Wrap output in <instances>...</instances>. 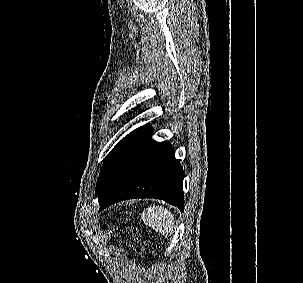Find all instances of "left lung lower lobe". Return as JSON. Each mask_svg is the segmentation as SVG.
<instances>
[{
    "label": "left lung lower lobe",
    "instance_id": "0a47b994",
    "mask_svg": "<svg viewBox=\"0 0 303 283\" xmlns=\"http://www.w3.org/2000/svg\"><path fill=\"white\" fill-rule=\"evenodd\" d=\"M152 133L151 126L144 125L122 148L96 191L99 211L132 198L163 199L183 211V169L171 144L152 140Z\"/></svg>",
    "mask_w": 303,
    "mask_h": 283
}]
</instances>
